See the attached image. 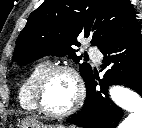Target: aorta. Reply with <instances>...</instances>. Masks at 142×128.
I'll return each mask as SVG.
<instances>
[{
    "label": "aorta",
    "mask_w": 142,
    "mask_h": 128,
    "mask_svg": "<svg viewBox=\"0 0 142 128\" xmlns=\"http://www.w3.org/2000/svg\"><path fill=\"white\" fill-rule=\"evenodd\" d=\"M109 94L118 107L129 112L119 128H142V98L140 95L122 86L111 87Z\"/></svg>",
    "instance_id": "1"
}]
</instances>
